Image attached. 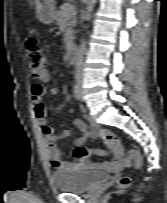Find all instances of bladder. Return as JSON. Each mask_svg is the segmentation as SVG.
I'll use <instances>...</instances> for the list:
<instances>
[{
	"label": "bladder",
	"instance_id": "31cf9c89",
	"mask_svg": "<svg viewBox=\"0 0 167 203\" xmlns=\"http://www.w3.org/2000/svg\"><path fill=\"white\" fill-rule=\"evenodd\" d=\"M55 186L67 193H84L110 179L106 172L96 170L59 169L53 172Z\"/></svg>",
	"mask_w": 167,
	"mask_h": 203
}]
</instances>
